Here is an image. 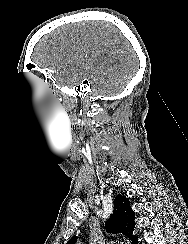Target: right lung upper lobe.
Returning a JSON list of instances; mask_svg holds the SVG:
<instances>
[{"mask_svg": "<svg viewBox=\"0 0 188 244\" xmlns=\"http://www.w3.org/2000/svg\"><path fill=\"white\" fill-rule=\"evenodd\" d=\"M135 214L131 209L129 200L122 195H117L114 200V211L106 222V230L108 233H123L132 243L137 236L132 235L135 227ZM76 237L73 236L67 244H75Z\"/></svg>", "mask_w": 188, "mask_h": 244, "instance_id": "1", "label": "right lung upper lobe"}]
</instances>
